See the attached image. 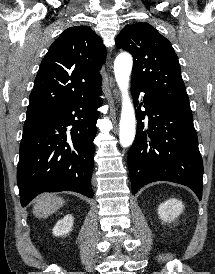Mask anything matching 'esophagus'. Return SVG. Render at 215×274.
I'll return each mask as SVG.
<instances>
[{"label":"esophagus","mask_w":215,"mask_h":274,"mask_svg":"<svg viewBox=\"0 0 215 274\" xmlns=\"http://www.w3.org/2000/svg\"><path fill=\"white\" fill-rule=\"evenodd\" d=\"M111 88H112V91H113V94H114V97L117 101H119L120 99V96H119V91L118 89L115 87L114 84L111 83Z\"/></svg>","instance_id":"1"}]
</instances>
